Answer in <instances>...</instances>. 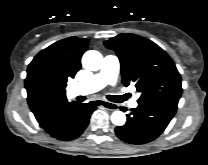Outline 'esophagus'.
<instances>
[{"label": "esophagus", "instance_id": "obj_1", "mask_svg": "<svg viewBox=\"0 0 208 165\" xmlns=\"http://www.w3.org/2000/svg\"><path fill=\"white\" fill-rule=\"evenodd\" d=\"M96 104L100 107H103L107 110H111V111H114L117 109V105L114 104V103H111V102H108V101H105V100H102V99H98L96 101Z\"/></svg>", "mask_w": 208, "mask_h": 165}]
</instances>
